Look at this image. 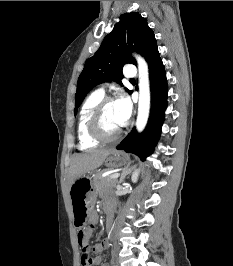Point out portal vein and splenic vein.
<instances>
[{"instance_id":"portal-vein-and-splenic-vein-1","label":"portal vein and splenic vein","mask_w":233,"mask_h":266,"mask_svg":"<svg viewBox=\"0 0 233 266\" xmlns=\"http://www.w3.org/2000/svg\"><path fill=\"white\" fill-rule=\"evenodd\" d=\"M119 173H114V174H112V175H110V178L111 179H116V178H118L119 177Z\"/></svg>"}]
</instances>
